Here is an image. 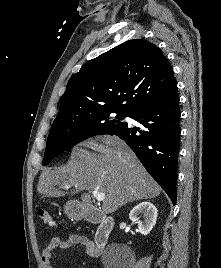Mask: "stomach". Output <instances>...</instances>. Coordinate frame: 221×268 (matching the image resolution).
I'll return each instance as SVG.
<instances>
[{"label":"stomach","mask_w":221,"mask_h":268,"mask_svg":"<svg viewBox=\"0 0 221 268\" xmlns=\"http://www.w3.org/2000/svg\"><path fill=\"white\" fill-rule=\"evenodd\" d=\"M64 212L69 218L81 219L85 215L86 208L78 202L69 201L64 206Z\"/></svg>","instance_id":"1"}]
</instances>
